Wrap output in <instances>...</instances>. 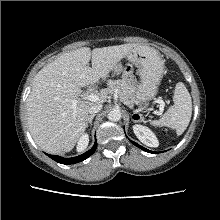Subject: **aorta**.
Returning <instances> with one entry per match:
<instances>
[{
	"instance_id": "aorta-1",
	"label": "aorta",
	"mask_w": 220,
	"mask_h": 220,
	"mask_svg": "<svg viewBox=\"0 0 220 220\" xmlns=\"http://www.w3.org/2000/svg\"><path fill=\"white\" fill-rule=\"evenodd\" d=\"M107 118L110 121H114V122L119 121L121 119V112H120V110H117V109L111 110L108 113Z\"/></svg>"
}]
</instances>
